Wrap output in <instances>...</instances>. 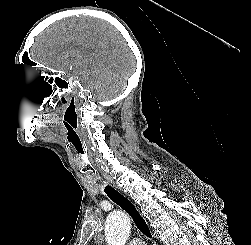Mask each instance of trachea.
<instances>
[{
	"instance_id": "1",
	"label": "trachea",
	"mask_w": 251,
	"mask_h": 245,
	"mask_svg": "<svg viewBox=\"0 0 251 245\" xmlns=\"http://www.w3.org/2000/svg\"><path fill=\"white\" fill-rule=\"evenodd\" d=\"M107 196L115 202L117 205H119L122 209H124L133 219L135 225L137 228L147 237L151 238V233L149 230V227L144 220V218L140 215V213L137 211L136 207L130 200H128L126 197H124L122 194H120L118 191L113 189L110 186H106L104 189Z\"/></svg>"
}]
</instances>
